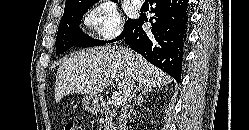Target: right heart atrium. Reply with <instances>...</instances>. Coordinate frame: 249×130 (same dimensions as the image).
Masks as SVG:
<instances>
[{
    "mask_svg": "<svg viewBox=\"0 0 249 130\" xmlns=\"http://www.w3.org/2000/svg\"><path fill=\"white\" fill-rule=\"evenodd\" d=\"M83 21L101 41L115 38L123 28V17L118 8L110 2H101L92 7L85 14Z\"/></svg>",
    "mask_w": 249,
    "mask_h": 130,
    "instance_id": "right-heart-atrium-1",
    "label": "right heart atrium"
}]
</instances>
